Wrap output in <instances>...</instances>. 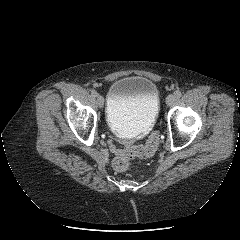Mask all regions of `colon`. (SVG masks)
Instances as JSON below:
<instances>
[{"label": "colon", "instance_id": "obj_1", "mask_svg": "<svg viewBox=\"0 0 240 240\" xmlns=\"http://www.w3.org/2000/svg\"><path fill=\"white\" fill-rule=\"evenodd\" d=\"M159 142V135L154 132L145 145H135L123 150L118 154L114 161L113 167L118 172H125L132 167V159L135 157H148L152 155L157 149Z\"/></svg>", "mask_w": 240, "mask_h": 240}]
</instances>
